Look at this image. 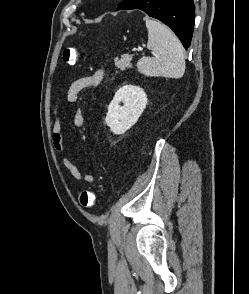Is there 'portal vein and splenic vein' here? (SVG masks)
<instances>
[{
    "instance_id": "portal-vein-and-splenic-vein-1",
    "label": "portal vein and splenic vein",
    "mask_w": 249,
    "mask_h": 294,
    "mask_svg": "<svg viewBox=\"0 0 249 294\" xmlns=\"http://www.w3.org/2000/svg\"><path fill=\"white\" fill-rule=\"evenodd\" d=\"M137 51H138V52H139V51H142V49H141V48H138ZM152 54L154 55V52H152Z\"/></svg>"
}]
</instances>
